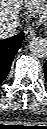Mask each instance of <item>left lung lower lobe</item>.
Returning <instances> with one entry per match:
<instances>
[{"label":"left lung lower lobe","mask_w":47,"mask_h":129,"mask_svg":"<svg viewBox=\"0 0 47 129\" xmlns=\"http://www.w3.org/2000/svg\"><path fill=\"white\" fill-rule=\"evenodd\" d=\"M44 73H45V77H46V80H47V62L45 64V66H44Z\"/></svg>","instance_id":"0a47b994"}]
</instances>
